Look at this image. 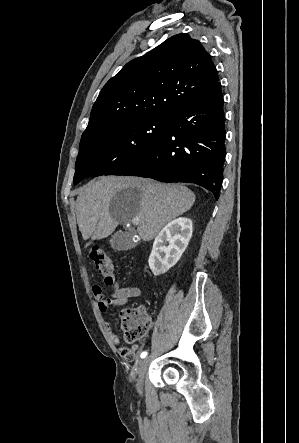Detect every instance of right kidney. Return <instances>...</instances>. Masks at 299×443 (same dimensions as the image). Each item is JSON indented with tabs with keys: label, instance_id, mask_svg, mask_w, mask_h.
Instances as JSON below:
<instances>
[{
	"label": "right kidney",
	"instance_id": "1",
	"mask_svg": "<svg viewBox=\"0 0 299 443\" xmlns=\"http://www.w3.org/2000/svg\"><path fill=\"white\" fill-rule=\"evenodd\" d=\"M192 231V220L180 217L158 233L148 260L155 276L164 274L177 263L188 246Z\"/></svg>",
	"mask_w": 299,
	"mask_h": 443
}]
</instances>
